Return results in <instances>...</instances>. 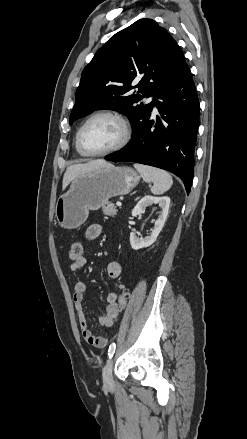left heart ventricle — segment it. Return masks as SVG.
Masks as SVG:
<instances>
[{
    "label": "left heart ventricle",
    "instance_id": "left-heart-ventricle-1",
    "mask_svg": "<svg viewBox=\"0 0 247 439\" xmlns=\"http://www.w3.org/2000/svg\"><path fill=\"white\" fill-rule=\"evenodd\" d=\"M122 137L119 122L111 117H98L85 128L82 142L87 151L101 152L115 146Z\"/></svg>",
    "mask_w": 247,
    "mask_h": 439
}]
</instances>
